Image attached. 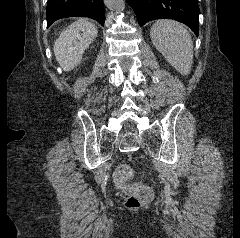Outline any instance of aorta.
I'll list each match as a JSON object with an SVG mask.
<instances>
[{
	"instance_id": "obj_1",
	"label": "aorta",
	"mask_w": 240,
	"mask_h": 238,
	"mask_svg": "<svg viewBox=\"0 0 240 238\" xmlns=\"http://www.w3.org/2000/svg\"><path fill=\"white\" fill-rule=\"evenodd\" d=\"M110 9L122 11L125 8V0H105Z\"/></svg>"
}]
</instances>
